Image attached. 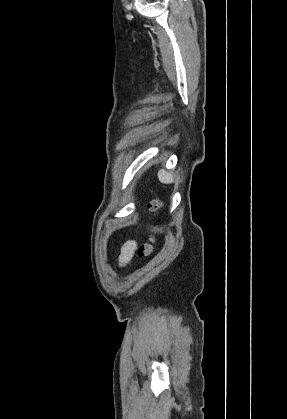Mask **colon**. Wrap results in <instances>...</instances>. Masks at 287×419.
Listing matches in <instances>:
<instances>
[{"label": "colon", "instance_id": "colon-1", "mask_svg": "<svg viewBox=\"0 0 287 419\" xmlns=\"http://www.w3.org/2000/svg\"><path fill=\"white\" fill-rule=\"evenodd\" d=\"M161 206H162L161 201L157 198H153L149 203V209L153 213H157L160 210ZM154 247H155V239L153 237H151L149 239V241L143 243L139 247L138 256L140 258H145V257L151 255L154 251Z\"/></svg>", "mask_w": 287, "mask_h": 419}]
</instances>
